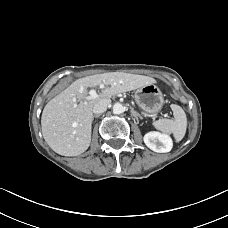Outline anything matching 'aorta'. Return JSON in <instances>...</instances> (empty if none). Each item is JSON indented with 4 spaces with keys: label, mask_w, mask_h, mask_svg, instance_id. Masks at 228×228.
<instances>
[{
    "label": "aorta",
    "mask_w": 228,
    "mask_h": 228,
    "mask_svg": "<svg viewBox=\"0 0 228 228\" xmlns=\"http://www.w3.org/2000/svg\"><path fill=\"white\" fill-rule=\"evenodd\" d=\"M124 111V107L120 103H115L113 106V113L114 114H121Z\"/></svg>",
    "instance_id": "762f6f07"
}]
</instances>
